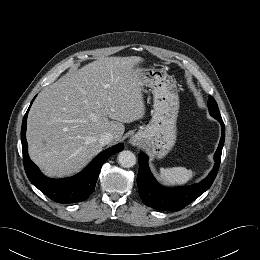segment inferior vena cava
I'll return each mask as SVG.
<instances>
[{
    "mask_svg": "<svg viewBox=\"0 0 260 260\" xmlns=\"http://www.w3.org/2000/svg\"><path fill=\"white\" fill-rule=\"evenodd\" d=\"M114 136L112 133L105 132L101 134L98 141L101 146H104L106 144H109L113 140Z\"/></svg>",
    "mask_w": 260,
    "mask_h": 260,
    "instance_id": "602c4592",
    "label": "inferior vena cava"
}]
</instances>
